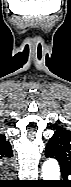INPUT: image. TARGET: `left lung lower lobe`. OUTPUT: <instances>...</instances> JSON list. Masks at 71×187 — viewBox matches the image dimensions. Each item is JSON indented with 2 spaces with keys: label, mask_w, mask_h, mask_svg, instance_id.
Returning <instances> with one entry per match:
<instances>
[{
  "label": "left lung lower lobe",
  "mask_w": 71,
  "mask_h": 187,
  "mask_svg": "<svg viewBox=\"0 0 71 187\" xmlns=\"http://www.w3.org/2000/svg\"><path fill=\"white\" fill-rule=\"evenodd\" d=\"M45 156L48 157H53L52 155L49 154H45ZM54 158V157H53ZM61 172H62V176L64 179H66L69 175H71V172H69L67 169L61 167Z\"/></svg>",
  "instance_id": "1"
}]
</instances>
